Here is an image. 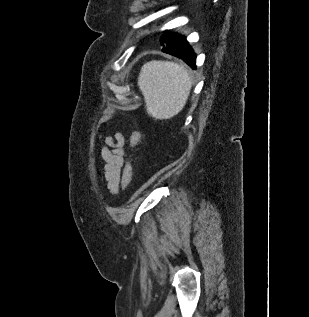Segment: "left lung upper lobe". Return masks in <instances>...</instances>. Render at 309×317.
<instances>
[{"label":"left lung upper lobe","mask_w":309,"mask_h":317,"mask_svg":"<svg viewBox=\"0 0 309 317\" xmlns=\"http://www.w3.org/2000/svg\"><path fill=\"white\" fill-rule=\"evenodd\" d=\"M178 36H179V34L170 32L169 30H166L163 33V35H162V37L160 39V42H161L162 45H165L166 43L171 42L172 40H174Z\"/></svg>","instance_id":"obj_1"}]
</instances>
